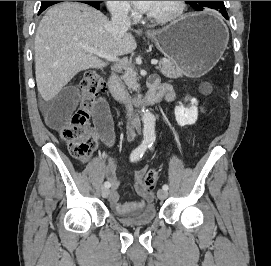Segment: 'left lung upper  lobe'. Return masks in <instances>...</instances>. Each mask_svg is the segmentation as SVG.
Masks as SVG:
<instances>
[{
    "instance_id": "left-lung-upper-lobe-1",
    "label": "left lung upper lobe",
    "mask_w": 271,
    "mask_h": 266,
    "mask_svg": "<svg viewBox=\"0 0 271 266\" xmlns=\"http://www.w3.org/2000/svg\"><path fill=\"white\" fill-rule=\"evenodd\" d=\"M197 11L201 10H214L218 13L226 12V8L223 1H186Z\"/></svg>"
}]
</instances>
